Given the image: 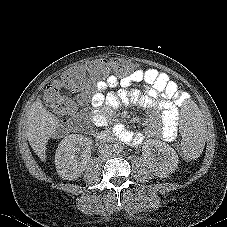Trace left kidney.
I'll use <instances>...</instances> for the list:
<instances>
[{
	"mask_svg": "<svg viewBox=\"0 0 227 227\" xmlns=\"http://www.w3.org/2000/svg\"><path fill=\"white\" fill-rule=\"evenodd\" d=\"M155 151H158V157L154 156ZM143 157L153 174L160 178L173 173L179 161L176 151L171 146L154 139L146 142Z\"/></svg>",
	"mask_w": 227,
	"mask_h": 227,
	"instance_id": "1",
	"label": "left kidney"
}]
</instances>
